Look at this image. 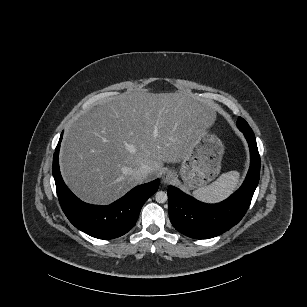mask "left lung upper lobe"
Returning a JSON list of instances; mask_svg holds the SVG:
<instances>
[{
	"instance_id": "left-lung-upper-lobe-1",
	"label": "left lung upper lobe",
	"mask_w": 307,
	"mask_h": 307,
	"mask_svg": "<svg viewBox=\"0 0 307 307\" xmlns=\"http://www.w3.org/2000/svg\"><path fill=\"white\" fill-rule=\"evenodd\" d=\"M237 127L238 128H245V129H248V130H252L250 128V126L248 125V123L241 117L238 118V121H237Z\"/></svg>"
}]
</instances>
